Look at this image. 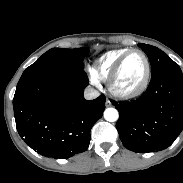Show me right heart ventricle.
<instances>
[{
    "label": "right heart ventricle",
    "mask_w": 183,
    "mask_h": 183,
    "mask_svg": "<svg viewBox=\"0 0 183 183\" xmlns=\"http://www.w3.org/2000/svg\"><path fill=\"white\" fill-rule=\"evenodd\" d=\"M128 49H116L108 51L98 57L92 67V75L95 78L107 79L115 63Z\"/></svg>",
    "instance_id": "1"
}]
</instances>
